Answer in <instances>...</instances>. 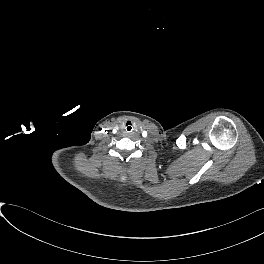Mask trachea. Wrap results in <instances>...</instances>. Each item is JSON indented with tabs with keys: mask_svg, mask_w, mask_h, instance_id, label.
<instances>
[{
	"mask_svg": "<svg viewBox=\"0 0 264 264\" xmlns=\"http://www.w3.org/2000/svg\"><path fill=\"white\" fill-rule=\"evenodd\" d=\"M122 128L125 133H132L134 131V125L131 121L125 122Z\"/></svg>",
	"mask_w": 264,
	"mask_h": 264,
	"instance_id": "1",
	"label": "trachea"
}]
</instances>
